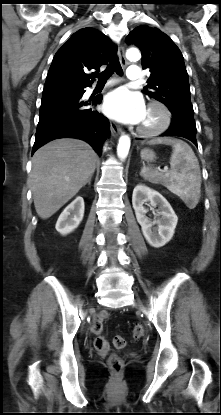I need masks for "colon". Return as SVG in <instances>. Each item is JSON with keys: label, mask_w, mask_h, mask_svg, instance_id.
Segmentation results:
<instances>
[{"label": "colon", "mask_w": 221, "mask_h": 415, "mask_svg": "<svg viewBox=\"0 0 221 415\" xmlns=\"http://www.w3.org/2000/svg\"><path fill=\"white\" fill-rule=\"evenodd\" d=\"M109 317L108 312L102 311L97 314L91 324V331L97 335L94 340L95 348L100 352H106L109 349L108 340L102 335L103 321ZM145 335V328L143 325H136L133 329V337L139 339ZM114 346L117 349H123L126 346V340L122 336H116L113 340ZM108 364L112 372L118 375L123 368V358L120 354H112L108 358Z\"/></svg>", "instance_id": "5ec220e1"}]
</instances>
